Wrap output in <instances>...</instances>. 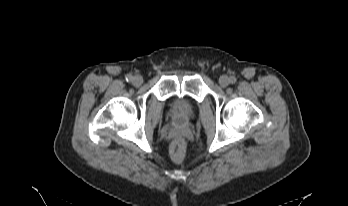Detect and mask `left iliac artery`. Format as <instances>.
Wrapping results in <instances>:
<instances>
[{"label": "left iliac artery", "mask_w": 348, "mask_h": 206, "mask_svg": "<svg viewBox=\"0 0 348 206\" xmlns=\"http://www.w3.org/2000/svg\"><path fill=\"white\" fill-rule=\"evenodd\" d=\"M235 82H236V78H235V77H231V78H230V83L233 84V83H235Z\"/></svg>", "instance_id": "left-iliac-artery-1"}]
</instances>
